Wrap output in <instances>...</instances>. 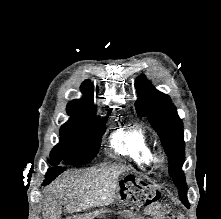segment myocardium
I'll list each match as a JSON object with an SVG mask.
<instances>
[{
  "label": "myocardium",
  "mask_w": 221,
  "mask_h": 219,
  "mask_svg": "<svg viewBox=\"0 0 221 219\" xmlns=\"http://www.w3.org/2000/svg\"><path fill=\"white\" fill-rule=\"evenodd\" d=\"M152 161H153V165L156 168H162L164 166L165 159L161 154L156 153L153 155Z\"/></svg>",
  "instance_id": "myocardium-1"
}]
</instances>
